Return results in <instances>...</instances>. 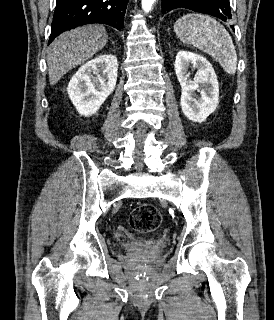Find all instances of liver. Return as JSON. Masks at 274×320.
<instances>
[{
	"mask_svg": "<svg viewBox=\"0 0 274 320\" xmlns=\"http://www.w3.org/2000/svg\"><path fill=\"white\" fill-rule=\"evenodd\" d=\"M107 42L108 34L99 24L75 28L58 36L50 44L47 54L51 86H55L67 72L93 58L94 54L105 48Z\"/></svg>",
	"mask_w": 274,
	"mask_h": 320,
	"instance_id": "obj_1",
	"label": "liver"
}]
</instances>
